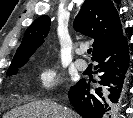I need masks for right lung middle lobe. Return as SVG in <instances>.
<instances>
[{"instance_id":"dd1d6c3e","label":"right lung middle lobe","mask_w":133,"mask_h":118,"mask_svg":"<svg viewBox=\"0 0 133 118\" xmlns=\"http://www.w3.org/2000/svg\"><path fill=\"white\" fill-rule=\"evenodd\" d=\"M24 64H25V63L16 64V65L10 67V68L8 69L7 73H6L7 76H11V75L16 74L17 71H18V68L21 67V66H23Z\"/></svg>"}]
</instances>
